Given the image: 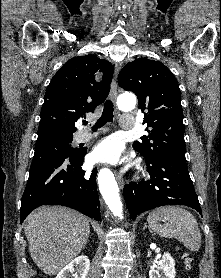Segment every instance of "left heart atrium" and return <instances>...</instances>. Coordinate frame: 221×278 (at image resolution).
I'll return each mask as SVG.
<instances>
[{
	"label": "left heart atrium",
	"instance_id": "39dd6f15",
	"mask_svg": "<svg viewBox=\"0 0 221 278\" xmlns=\"http://www.w3.org/2000/svg\"><path fill=\"white\" fill-rule=\"evenodd\" d=\"M122 145L115 137H109L102 141L93 151L94 161H118L121 155Z\"/></svg>",
	"mask_w": 221,
	"mask_h": 278
}]
</instances>
